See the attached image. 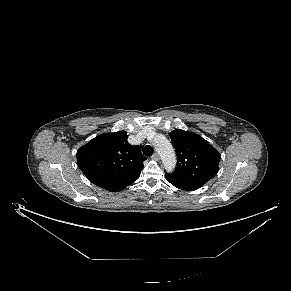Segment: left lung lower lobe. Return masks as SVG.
<instances>
[{
  "label": "left lung lower lobe",
  "instance_id": "obj_1",
  "mask_svg": "<svg viewBox=\"0 0 291 291\" xmlns=\"http://www.w3.org/2000/svg\"><path fill=\"white\" fill-rule=\"evenodd\" d=\"M170 183L179 189L189 190V191L197 190L201 187V186H197V185H179V184H174L172 182H170Z\"/></svg>",
  "mask_w": 291,
  "mask_h": 291
}]
</instances>
